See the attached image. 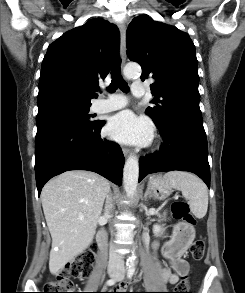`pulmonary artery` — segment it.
Masks as SVG:
<instances>
[{
    "label": "pulmonary artery",
    "mask_w": 245,
    "mask_h": 293,
    "mask_svg": "<svg viewBox=\"0 0 245 293\" xmlns=\"http://www.w3.org/2000/svg\"><path fill=\"white\" fill-rule=\"evenodd\" d=\"M132 93L137 96L146 94V89L143 83H133ZM106 99L99 100L95 103L94 110L99 113H106L124 108L127 105V100L121 96L110 93H103Z\"/></svg>",
    "instance_id": "pulmonary-artery-1"
}]
</instances>
